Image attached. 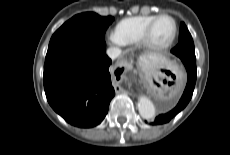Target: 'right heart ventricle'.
<instances>
[{"label": "right heart ventricle", "mask_w": 230, "mask_h": 155, "mask_svg": "<svg viewBox=\"0 0 230 155\" xmlns=\"http://www.w3.org/2000/svg\"><path fill=\"white\" fill-rule=\"evenodd\" d=\"M156 16L139 15L125 18L116 25L114 32L125 45L138 43L145 28Z\"/></svg>", "instance_id": "obj_1"}]
</instances>
